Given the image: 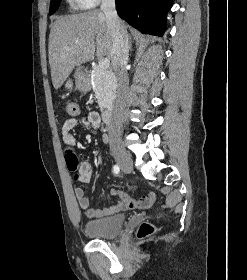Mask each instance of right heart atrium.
Masks as SVG:
<instances>
[{
	"mask_svg": "<svg viewBox=\"0 0 247 280\" xmlns=\"http://www.w3.org/2000/svg\"><path fill=\"white\" fill-rule=\"evenodd\" d=\"M77 3L82 7H93L97 5L101 0H76Z\"/></svg>",
	"mask_w": 247,
	"mask_h": 280,
	"instance_id": "1",
	"label": "right heart atrium"
}]
</instances>
